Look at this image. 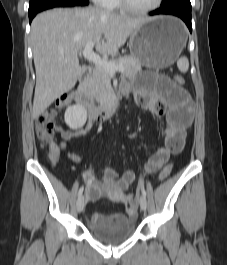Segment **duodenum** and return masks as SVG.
Segmentation results:
<instances>
[{"instance_id": "obj_1", "label": "duodenum", "mask_w": 227, "mask_h": 265, "mask_svg": "<svg viewBox=\"0 0 227 265\" xmlns=\"http://www.w3.org/2000/svg\"><path fill=\"white\" fill-rule=\"evenodd\" d=\"M89 74L87 70L80 79L78 86L74 89L76 101L87 111L93 121L110 118L119 108L125 92L120 89L119 93L109 101L96 105L89 93Z\"/></svg>"}]
</instances>
